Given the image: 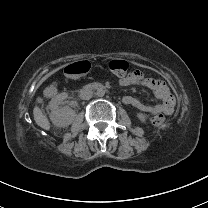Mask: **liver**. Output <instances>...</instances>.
Masks as SVG:
<instances>
[{"mask_svg": "<svg viewBox=\"0 0 208 208\" xmlns=\"http://www.w3.org/2000/svg\"><path fill=\"white\" fill-rule=\"evenodd\" d=\"M43 101L42 97H37L35 101V105L33 107V117L34 121L40 128L50 131L51 125L48 118L43 114L41 108L37 105V103H41Z\"/></svg>", "mask_w": 208, "mask_h": 208, "instance_id": "liver-1", "label": "liver"}]
</instances>
